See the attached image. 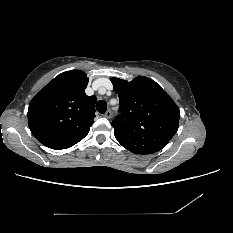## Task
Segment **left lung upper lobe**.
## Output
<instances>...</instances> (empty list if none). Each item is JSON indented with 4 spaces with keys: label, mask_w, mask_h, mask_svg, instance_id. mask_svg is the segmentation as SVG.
<instances>
[{
    "label": "left lung upper lobe",
    "mask_w": 233,
    "mask_h": 233,
    "mask_svg": "<svg viewBox=\"0 0 233 233\" xmlns=\"http://www.w3.org/2000/svg\"><path fill=\"white\" fill-rule=\"evenodd\" d=\"M119 96L121 115L111 123L118 142L135 154H151L167 145L178 130L180 111L150 78L131 82L110 79Z\"/></svg>",
    "instance_id": "left-lung-upper-lobe-1"
}]
</instances>
